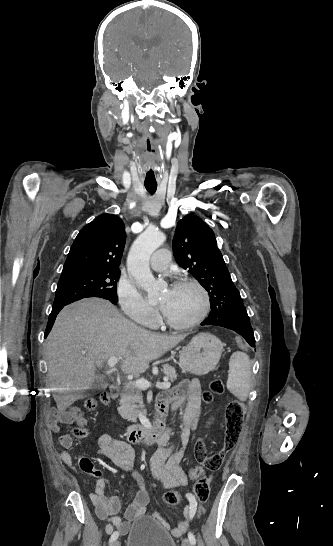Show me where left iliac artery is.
I'll return each mask as SVG.
<instances>
[{
  "label": "left iliac artery",
  "instance_id": "44dca946",
  "mask_svg": "<svg viewBox=\"0 0 333 546\" xmlns=\"http://www.w3.org/2000/svg\"><path fill=\"white\" fill-rule=\"evenodd\" d=\"M188 539H189V541H190V543L192 545H195L196 539H195V536L193 535V533L191 531L188 533Z\"/></svg>",
  "mask_w": 333,
  "mask_h": 546
}]
</instances>
